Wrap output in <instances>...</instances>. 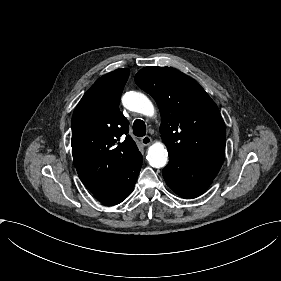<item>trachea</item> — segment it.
<instances>
[{"label":"trachea","mask_w":281,"mask_h":281,"mask_svg":"<svg viewBox=\"0 0 281 281\" xmlns=\"http://www.w3.org/2000/svg\"><path fill=\"white\" fill-rule=\"evenodd\" d=\"M133 133L137 137H144L146 134V125L144 121L137 119L133 123Z\"/></svg>","instance_id":"obj_1"}]
</instances>
